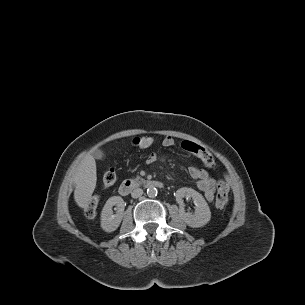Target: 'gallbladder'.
Listing matches in <instances>:
<instances>
[{
	"label": "gallbladder",
	"instance_id": "gallbladder-1",
	"mask_svg": "<svg viewBox=\"0 0 305 305\" xmlns=\"http://www.w3.org/2000/svg\"><path fill=\"white\" fill-rule=\"evenodd\" d=\"M92 156H93L95 159L102 160V159H104L105 154H104V152H103L101 149H95V150L92 152Z\"/></svg>",
	"mask_w": 305,
	"mask_h": 305
}]
</instances>
